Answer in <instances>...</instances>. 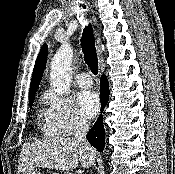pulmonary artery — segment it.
I'll return each instance as SVG.
<instances>
[{
    "label": "pulmonary artery",
    "mask_w": 175,
    "mask_h": 174,
    "mask_svg": "<svg viewBox=\"0 0 175 174\" xmlns=\"http://www.w3.org/2000/svg\"><path fill=\"white\" fill-rule=\"evenodd\" d=\"M76 83L82 88H88L92 85V78L88 73L81 72L76 76Z\"/></svg>",
    "instance_id": "1"
}]
</instances>
